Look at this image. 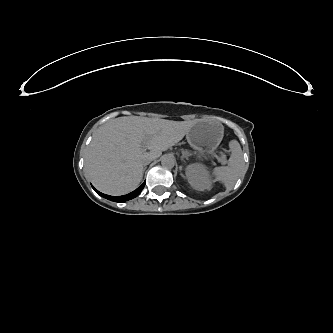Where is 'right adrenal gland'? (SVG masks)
<instances>
[{"mask_svg": "<svg viewBox=\"0 0 333 333\" xmlns=\"http://www.w3.org/2000/svg\"><path fill=\"white\" fill-rule=\"evenodd\" d=\"M146 168H147V167H144L143 171H145V170H146Z\"/></svg>", "mask_w": 333, "mask_h": 333, "instance_id": "2a0ac1e0", "label": "right adrenal gland"}]
</instances>
